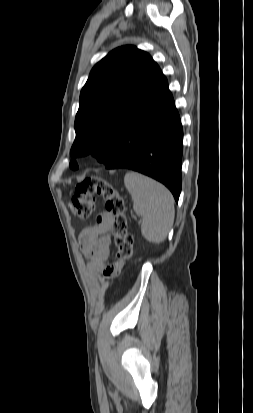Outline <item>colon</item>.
<instances>
[{
    "label": "colon",
    "mask_w": 253,
    "mask_h": 413,
    "mask_svg": "<svg viewBox=\"0 0 253 413\" xmlns=\"http://www.w3.org/2000/svg\"><path fill=\"white\" fill-rule=\"evenodd\" d=\"M95 194L104 198L106 210L113 217L117 260L127 262L133 255V238L127 231L124 200L112 184L101 177H86L77 183L70 199L73 214L81 220L90 218L95 210Z\"/></svg>",
    "instance_id": "obj_1"
}]
</instances>
